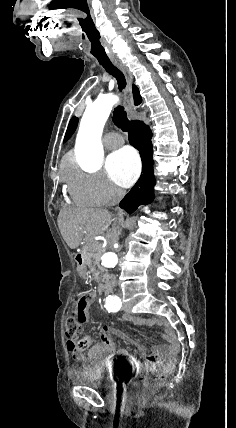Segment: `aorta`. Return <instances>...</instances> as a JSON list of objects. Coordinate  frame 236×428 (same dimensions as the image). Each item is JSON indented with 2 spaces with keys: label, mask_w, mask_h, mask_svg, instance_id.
I'll list each match as a JSON object with an SVG mask.
<instances>
[{
  "label": "aorta",
  "mask_w": 236,
  "mask_h": 428,
  "mask_svg": "<svg viewBox=\"0 0 236 428\" xmlns=\"http://www.w3.org/2000/svg\"><path fill=\"white\" fill-rule=\"evenodd\" d=\"M117 101L116 95H100L93 104L86 108L83 114L75 150L77 159L87 169H96L103 161L104 152L101 136L112 107ZM117 263L118 256L113 251H108L102 256V265L106 268H113Z\"/></svg>",
  "instance_id": "1"
}]
</instances>
